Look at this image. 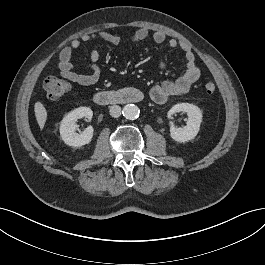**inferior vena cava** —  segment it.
<instances>
[{"label":"inferior vena cava","instance_id":"1","mask_svg":"<svg viewBox=\"0 0 265 265\" xmlns=\"http://www.w3.org/2000/svg\"><path fill=\"white\" fill-rule=\"evenodd\" d=\"M110 115L114 118H117L121 115V107L118 105H113L110 107Z\"/></svg>","mask_w":265,"mask_h":265}]
</instances>
